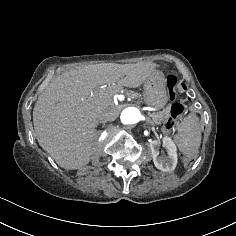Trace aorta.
Returning <instances> with one entry per match:
<instances>
[{
  "label": "aorta",
  "mask_w": 236,
  "mask_h": 236,
  "mask_svg": "<svg viewBox=\"0 0 236 236\" xmlns=\"http://www.w3.org/2000/svg\"><path fill=\"white\" fill-rule=\"evenodd\" d=\"M140 110L136 107L125 108L120 116V120L124 125L136 124L141 120Z\"/></svg>",
  "instance_id": "762f6f07"
}]
</instances>
